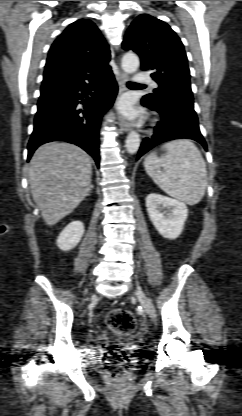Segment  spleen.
<instances>
[{"label":"spleen","mask_w":242,"mask_h":416,"mask_svg":"<svg viewBox=\"0 0 242 416\" xmlns=\"http://www.w3.org/2000/svg\"><path fill=\"white\" fill-rule=\"evenodd\" d=\"M161 149L166 151L163 156L157 157L153 151L145 158L146 173L166 194L189 205L200 202L207 186V169L199 149L186 139L167 142Z\"/></svg>","instance_id":"1"}]
</instances>
